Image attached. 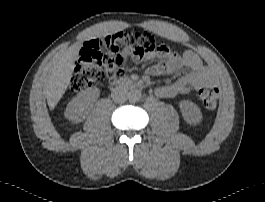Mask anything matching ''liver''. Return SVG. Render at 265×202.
Segmentation results:
<instances>
[{"mask_svg":"<svg viewBox=\"0 0 265 202\" xmlns=\"http://www.w3.org/2000/svg\"><path fill=\"white\" fill-rule=\"evenodd\" d=\"M81 43L71 45L59 55L47 81L46 98L53 110L66 92L74 71V62L79 55Z\"/></svg>","mask_w":265,"mask_h":202,"instance_id":"1","label":"liver"}]
</instances>
